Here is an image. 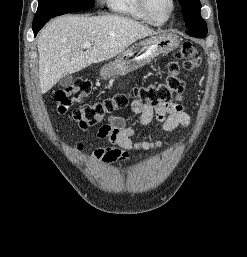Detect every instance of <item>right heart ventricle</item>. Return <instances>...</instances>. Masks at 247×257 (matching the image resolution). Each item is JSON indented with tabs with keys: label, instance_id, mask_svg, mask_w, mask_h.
<instances>
[{
	"label": "right heart ventricle",
	"instance_id": "1",
	"mask_svg": "<svg viewBox=\"0 0 247 257\" xmlns=\"http://www.w3.org/2000/svg\"><path fill=\"white\" fill-rule=\"evenodd\" d=\"M106 4L115 14L149 23L141 10L139 0H106Z\"/></svg>",
	"mask_w": 247,
	"mask_h": 257
}]
</instances>
